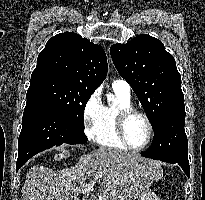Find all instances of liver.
<instances>
[{
	"instance_id": "1",
	"label": "liver",
	"mask_w": 205,
	"mask_h": 200,
	"mask_svg": "<svg viewBox=\"0 0 205 200\" xmlns=\"http://www.w3.org/2000/svg\"><path fill=\"white\" fill-rule=\"evenodd\" d=\"M159 163L136 153L98 148L82 156L75 166L54 171L33 166L26 174L22 200H79L82 187L94 186L96 173L106 170L99 193L111 200H132L161 178Z\"/></svg>"
}]
</instances>
